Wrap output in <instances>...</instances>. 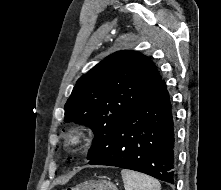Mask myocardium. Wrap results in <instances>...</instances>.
<instances>
[{"label":"myocardium","instance_id":"obj_1","mask_svg":"<svg viewBox=\"0 0 221 190\" xmlns=\"http://www.w3.org/2000/svg\"><path fill=\"white\" fill-rule=\"evenodd\" d=\"M87 139V131L83 127H75L71 129L66 137L65 142L71 148L81 147Z\"/></svg>","mask_w":221,"mask_h":190}]
</instances>
